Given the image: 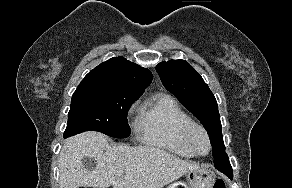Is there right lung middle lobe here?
I'll use <instances>...</instances> for the list:
<instances>
[{
    "mask_svg": "<svg viewBox=\"0 0 292 188\" xmlns=\"http://www.w3.org/2000/svg\"><path fill=\"white\" fill-rule=\"evenodd\" d=\"M139 95L101 85H79L71 100L64 138L88 131H100L115 138L130 135L127 113Z\"/></svg>",
    "mask_w": 292,
    "mask_h": 188,
    "instance_id": "dd1d6c3e",
    "label": "right lung middle lobe"
}]
</instances>
